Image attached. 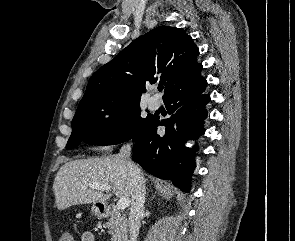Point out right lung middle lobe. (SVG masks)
Instances as JSON below:
<instances>
[{"label": "right lung middle lobe", "mask_w": 295, "mask_h": 241, "mask_svg": "<svg viewBox=\"0 0 295 241\" xmlns=\"http://www.w3.org/2000/svg\"><path fill=\"white\" fill-rule=\"evenodd\" d=\"M140 112L139 102L120 99L79 105L66 149H73L81 142L98 145L125 142L141 132L154 117L141 118Z\"/></svg>", "instance_id": "obj_1"}]
</instances>
